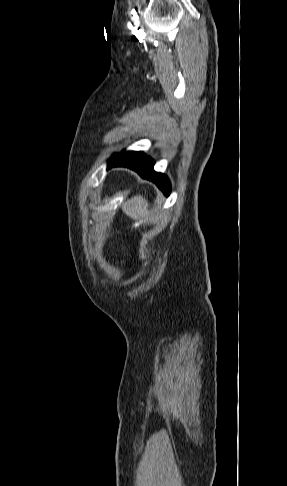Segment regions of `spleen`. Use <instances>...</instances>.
Instances as JSON below:
<instances>
[{
    "label": "spleen",
    "instance_id": "spleen-1",
    "mask_svg": "<svg viewBox=\"0 0 287 486\" xmlns=\"http://www.w3.org/2000/svg\"><path fill=\"white\" fill-rule=\"evenodd\" d=\"M148 201L141 195H136L122 204L123 212L135 221L149 217Z\"/></svg>",
    "mask_w": 287,
    "mask_h": 486
}]
</instances>
